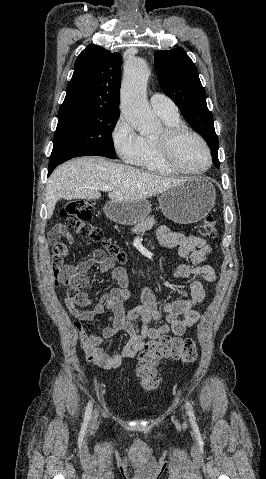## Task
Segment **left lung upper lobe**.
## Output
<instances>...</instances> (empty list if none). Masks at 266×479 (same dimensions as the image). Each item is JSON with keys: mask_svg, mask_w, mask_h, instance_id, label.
Listing matches in <instances>:
<instances>
[{"mask_svg": "<svg viewBox=\"0 0 266 479\" xmlns=\"http://www.w3.org/2000/svg\"><path fill=\"white\" fill-rule=\"evenodd\" d=\"M154 60L160 88L179 106L188 124L208 143L212 161L219 167V141L196 66L182 48L157 51Z\"/></svg>", "mask_w": 266, "mask_h": 479, "instance_id": "left-lung-upper-lobe-1", "label": "left lung upper lobe"}]
</instances>
